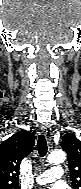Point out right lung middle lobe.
<instances>
[{"label": "right lung middle lobe", "mask_w": 81, "mask_h": 189, "mask_svg": "<svg viewBox=\"0 0 81 189\" xmlns=\"http://www.w3.org/2000/svg\"><path fill=\"white\" fill-rule=\"evenodd\" d=\"M0 189H18V186H4L1 187Z\"/></svg>", "instance_id": "1"}]
</instances>
